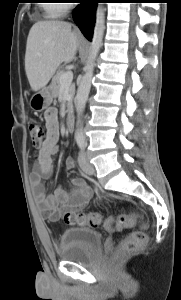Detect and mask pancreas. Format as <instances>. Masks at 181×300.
<instances>
[{"label": "pancreas", "instance_id": "cf45deb5", "mask_svg": "<svg viewBox=\"0 0 181 300\" xmlns=\"http://www.w3.org/2000/svg\"><path fill=\"white\" fill-rule=\"evenodd\" d=\"M63 73H64L63 70H58L54 75V77L52 78L51 87H52V92L54 97H58L60 95V90L62 88V85L60 83V77ZM67 87H68V97H69V99H67V108L68 111H70L72 108V99L75 94V85L70 84Z\"/></svg>", "mask_w": 181, "mask_h": 300}]
</instances>
